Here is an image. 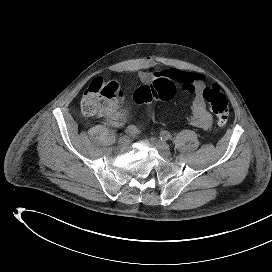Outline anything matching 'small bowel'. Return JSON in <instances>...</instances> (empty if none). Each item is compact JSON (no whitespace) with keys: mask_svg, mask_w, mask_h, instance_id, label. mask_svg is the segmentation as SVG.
Returning a JSON list of instances; mask_svg holds the SVG:
<instances>
[{"mask_svg":"<svg viewBox=\"0 0 272 272\" xmlns=\"http://www.w3.org/2000/svg\"><path fill=\"white\" fill-rule=\"evenodd\" d=\"M138 77L142 83L148 84L155 79L164 78L172 81L176 86L192 94L189 102L190 116L188 122L195 128L209 131L212 126V116L207 111L202 91L206 85L205 80L193 73L183 70H164L158 72H139ZM153 119L157 117L153 115ZM108 122L115 127H121L125 123V114L121 108V99L117 104L116 113L107 118Z\"/></svg>","mask_w":272,"mask_h":272,"instance_id":"small-bowel-1","label":"small bowel"}]
</instances>
